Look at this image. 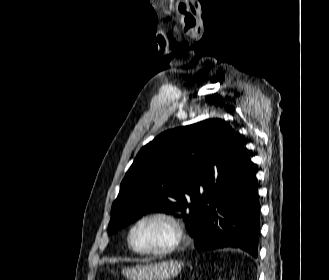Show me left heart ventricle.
<instances>
[{
  "mask_svg": "<svg viewBox=\"0 0 329 280\" xmlns=\"http://www.w3.org/2000/svg\"><path fill=\"white\" fill-rule=\"evenodd\" d=\"M172 240V229L164 221L150 220L140 224L133 233V244L138 249H160Z\"/></svg>",
  "mask_w": 329,
  "mask_h": 280,
  "instance_id": "1",
  "label": "left heart ventricle"
}]
</instances>
